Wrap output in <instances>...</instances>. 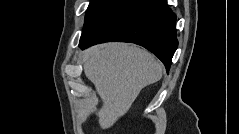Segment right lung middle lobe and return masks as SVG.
Segmentation results:
<instances>
[{"mask_svg": "<svg viewBox=\"0 0 239 134\" xmlns=\"http://www.w3.org/2000/svg\"><path fill=\"white\" fill-rule=\"evenodd\" d=\"M125 0H91L85 16L81 38L87 37L96 26Z\"/></svg>", "mask_w": 239, "mask_h": 134, "instance_id": "obj_1", "label": "right lung middle lobe"}]
</instances>
